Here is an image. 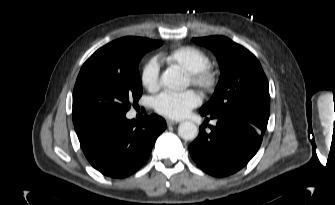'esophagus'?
Returning <instances> with one entry per match:
<instances>
[{"instance_id":"34e87169","label":"esophagus","mask_w":335,"mask_h":205,"mask_svg":"<svg viewBox=\"0 0 335 205\" xmlns=\"http://www.w3.org/2000/svg\"><path fill=\"white\" fill-rule=\"evenodd\" d=\"M166 122H167V125H168V126L175 125V124L178 123V121L169 120V119H168Z\"/></svg>"}]
</instances>
